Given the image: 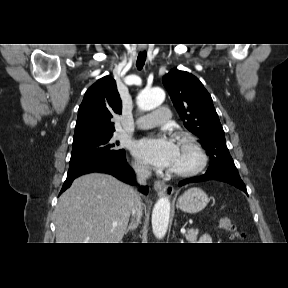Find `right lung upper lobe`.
I'll return each mask as SVG.
<instances>
[{"label": "right lung upper lobe", "mask_w": 288, "mask_h": 288, "mask_svg": "<svg viewBox=\"0 0 288 288\" xmlns=\"http://www.w3.org/2000/svg\"><path fill=\"white\" fill-rule=\"evenodd\" d=\"M121 99L110 76L96 81L85 93L78 110L73 144L113 135V115L120 114Z\"/></svg>", "instance_id": "right-lung-upper-lobe-1"}]
</instances>
